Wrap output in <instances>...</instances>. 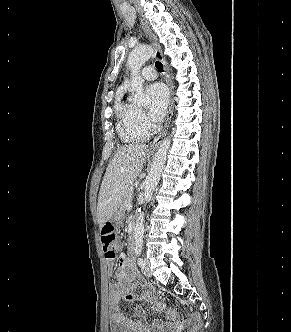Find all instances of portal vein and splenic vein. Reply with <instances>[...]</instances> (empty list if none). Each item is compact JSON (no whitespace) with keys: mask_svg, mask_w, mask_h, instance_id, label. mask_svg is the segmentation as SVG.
<instances>
[{"mask_svg":"<svg viewBox=\"0 0 291 332\" xmlns=\"http://www.w3.org/2000/svg\"><path fill=\"white\" fill-rule=\"evenodd\" d=\"M132 207V204L131 203H128L127 205H126V208L127 209H130Z\"/></svg>","mask_w":291,"mask_h":332,"instance_id":"portal-vein-and-splenic-vein-1","label":"portal vein and splenic vein"}]
</instances>
